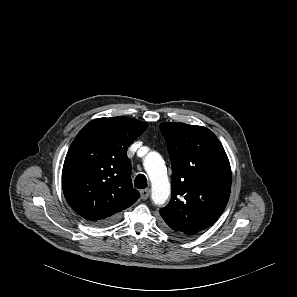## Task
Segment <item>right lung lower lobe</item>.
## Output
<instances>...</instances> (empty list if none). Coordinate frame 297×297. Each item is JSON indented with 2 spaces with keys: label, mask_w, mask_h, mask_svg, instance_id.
<instances>
[{
  "label": "right lung lower lobe",
  "mask_w": 297,
  "mask_h": 297,
  "mask_svg": "<svg viewBox=\"0 0 297 297\" xmlns=\"http://www.w3.org/2000/svg\"><path fill=\"white\" fill-rule=\"evenodd\" d=\"M116 218H117V215L113 216L112 218H110L108 220L100 221L97 224L100 225V226H106V225H109V224L113 223L116 220Z\"/></svg>",
  "instance_id": "98d812e1"
}]
</instances>
